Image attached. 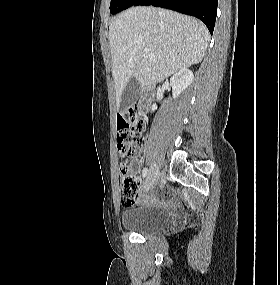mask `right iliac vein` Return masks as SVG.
<instances>
[{
    "label": "right iliac vein",
    "mask_w": 280,
    "mask_h": 285,
    "mask_svg": "<svg viewBox=\"0 0 280 285\" xmlns=\"http://www.w3.org/2000/svg\"><path fill=\"white\" fill-rule=\"evenodd\" d=\"M158 178H159V168L157 165H153L150 168L147 178L145 180L146 190L154 188V186L156 185L158 181Z\"/></svg>",
    "instance_id": "obj_1"
}]
</instances>
